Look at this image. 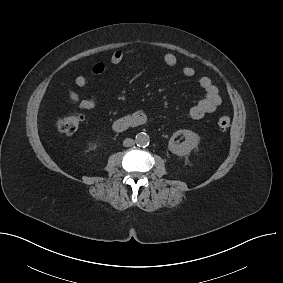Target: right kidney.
Segmentation results:
<instances>
[{
  "label": "right kidney",
  "mask_w": 283,
  "mask_h": 283,
  "mask_svg": "<svg viewBox=\"0 0 283 283\" xmlns=\"http://www.w3.org/2000/svg\"><path fill=\"white\" fill-rule=\"evenodd\" d=\"M96 147H97V146H96V145H94V146L92 147V149H96Z\"/></svg>",
  "instance_id": "1"
}]
</instances>
